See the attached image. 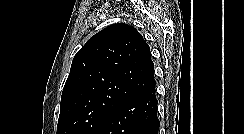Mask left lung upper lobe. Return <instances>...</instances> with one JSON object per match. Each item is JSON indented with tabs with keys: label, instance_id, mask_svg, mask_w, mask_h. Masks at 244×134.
I'll list each match as a JSON object with an SVG mask.
<instances>
[{
	"label": "left lung upper lobe",
	"instance_id": "left-lung-upper-lobe-1",
	"mask_svg": "<svg viewBox=\"0 0 244 134\" xmlns=\"http://www.w3.org/2000/svg\"><path fill=\"white\" fill-rule=\"evenodd\" d=\"M148 44L127 24L108 26L75 55L62 96L57 134H98L128 99L154 89Z\"/></svg>",
	"mask_w": 244,
	"mask_h": 134
}]
</instances>
